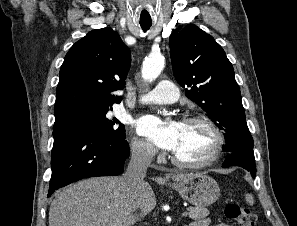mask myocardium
Returning <instances> with one entry per match:
<instances>
[{
  "mask_svg": "<svg viewBox=\"0 0 297 226\" xmlns=\"http://www.w3.org/2000/svg\"><path fill=\"white\" fill-rule=\"evenodd\" d=\"M200 122L205 124L214 134L215 143L210 154L203 160L198 162H186L179 159L174 153L171 154V161L180 168L185 169H202L212 165L220 156L224 144L225 137L219 126L208 116L203 114H194L185 117L182 123Z\"/></svg>",
  "mask_w": 297,
  "mask_h": 226,
  "instance_id": "f54148a6",
  "label": "myocardium"
}]
</instances>
